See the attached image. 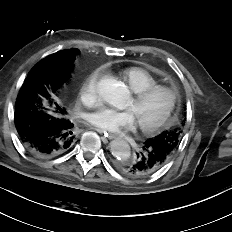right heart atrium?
<instances>
[{
  "mask_svg": "<svg viewBox=\"0 0 232 232\" xmlns=\"http://www.w3.org/2000/svg\"><path fill=\"white\" fill-rule=\"evenodd\" d=\"M101 76V70L91 73L81 88V95L88 98L91 102H95L98 97V81Z\"/></svg>",
  "mask_w": 232,
  "mask_h": 232,
  "instance_id": "right-heart-atrium-1",
  "label": "right heart atrium"
}]
</instances>
